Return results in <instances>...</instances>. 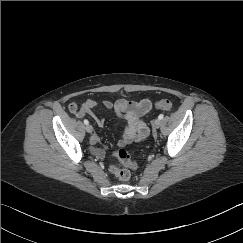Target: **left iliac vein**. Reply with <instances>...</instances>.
<instances>
[{"mask_svg": "<svg viewBox=\"0 0 243 243\" xmlns=\"http://www.w3.org/2000/svg\"><path fill=\"white\" fill-rule=\"evenodd\" d=\"M160 125H161L160 119H155L153 123L154 128H159Z\"/></svg>", "mask_w": 243, "mask_h": 243, "instance_id": "1", "label": "left iliac vein"}]
</instances>
